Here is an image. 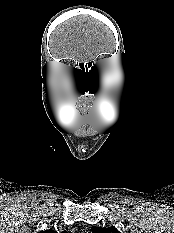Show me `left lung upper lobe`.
Masks as SVG:
<instances>
[{
	"label": "left lung upper lobe",
	"instance_id": "obj_1",
	"mask_svg": "<svg viewBox=\"0 0 174 233\" xmlns=\"http://www.w3.org/2000/svg\"><path fill=\"white\" fill-rule=\"evenodd\" d=\"M92 233H120L115 227H108V228H98L93 227Z\"/></svg>",
	"mask_w": 174,
	"mask_h": 233
}]
</instances>
